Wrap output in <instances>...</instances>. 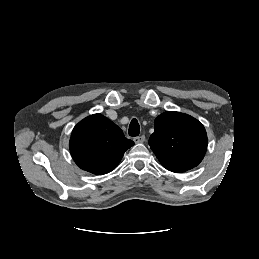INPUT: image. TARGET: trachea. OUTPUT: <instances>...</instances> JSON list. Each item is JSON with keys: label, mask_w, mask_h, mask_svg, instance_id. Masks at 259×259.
I'll list each match as a JSON object with an SVG mask.
<instances>
[{"label": "trachea", "mask_w": 259, "mask_h": 259, "mask_svg": "<svg viewBox=\"0 0 259 259\" xmlns=\"http://www.w3.org/2000/svg\"><path fill=\"white\" fill-rule=\"evenodd\" d=\"M129 135L132 137L138 136L140 133V126L138 121L134 118L129 125Z\"/></svg>", "instance_id": "1"}]
</instances>
